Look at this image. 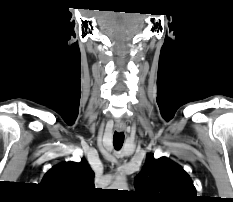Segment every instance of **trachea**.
<instances>
[{"label": "trachea", "mask_w": 233, "mask_h": 202, "mask_svg": "<svg viewBox=\"0 0 233 202\" xmlns=\"http://www.w3.org/2000/svg\"><path fill=\"white\" fill-rule=\"evenodd\" d=\"M124 142V133L123 132H115L113 136V145L116 150H119Z\"/></svg>", "instance_id": "obj_1"}]
</instances>
